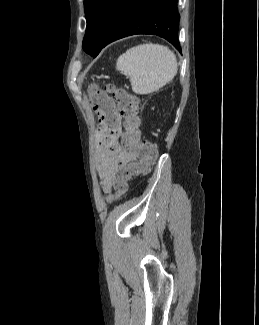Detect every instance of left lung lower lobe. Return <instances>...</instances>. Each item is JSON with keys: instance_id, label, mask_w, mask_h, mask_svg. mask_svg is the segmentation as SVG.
I'll return each instance as SVG.
<instances>
[{"instance_id": "obj_1", "label": "left lung lower lobe", "mask_w": 259, "mask_h": 325, "mask_svg": "<svg viewBox=\"0 0 259 325\" xmlns=\"http://www.w3.org/2000/svg\"><path fill=\"white\" fill-rule=\"evenodd\" d=\"M177 3L178 0H122L107 27L102 48L126 36L155 34L181 52Z\"/></svg>"}]
</instances>
